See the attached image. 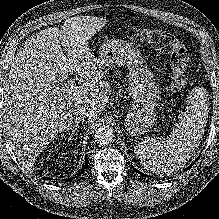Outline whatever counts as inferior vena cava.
Listing matches in <instances>:
<instances>
[{"instance_id": "obj_1", "label": "inferior vena cava", "mask_w": 219, "mask_h": 219, "mask_svg": "<svg viewBox=\"0 0 219 219\" xmlns=\"http://www.w3.org/2000/svg\"><path fill=\"white\" fill-rule=\"evenodd\" d=\"M74 115L76 119L82 120L89 118L92 115V111L84 106L78 105L74 110Z\"/></svg>"}]
</instances>
